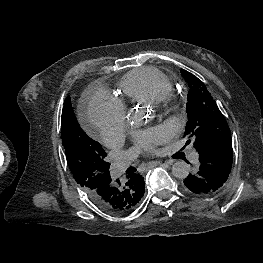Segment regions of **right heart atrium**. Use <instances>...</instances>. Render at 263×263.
I'll list each match as a JSON object with an SVG mask.
<instances>
[{
    "label": "right heart atrium",
    "mask_w": 263,
    "mask_h": 263,
    "mask_svg": "<svg viewBox=\"0 0 263 263\" xmlns=\"http://www.w3.org/2000/svg\"><path fill=\"white\" fill-rule=\"evenodd\" d=\"M88 121L103 143L120 135L126 122L124 106L105 92H96L89 101Z\"/></svg>",
    "instance_id": "1"
}]
</instances>
